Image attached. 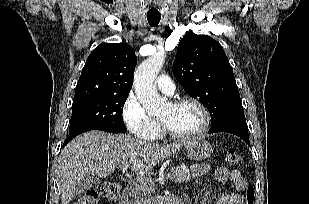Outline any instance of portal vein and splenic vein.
<instances>
[{
  "label": "portal vein and splenic vein",
  "mask_w": 309,
  "mask_h": 204,
  "mask_svg": "<svg viewBox=\"0 0 309 204\" xmlns=\"http://www.w3.org/2000/svg\"><path fill=\"white\" fill-rule=\"evenodd\" d=\"M123 167H124V168H127L128 166H127V165H123ZM166 177H167V178H170V174H169V173L166 174ZM142 180H143V178H139V179H138L139 182H142Z\"/></svg>",
  "instance_id": "1"
}]
</instances>
